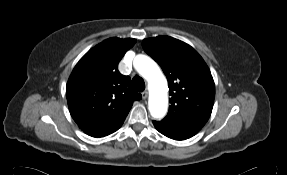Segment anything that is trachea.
<instances>
[{"mask_svg": "<svg viewBox=\"0 0 287 175\" xmlns=\"http://www.w3.org/2000/svg\"><path fill=\"white\" fill-rule=\"evenodd\" d=\"M133 87L136 91L142 92L145 89L144 80L140 76H134L133 78Z\"/></svg>", "mask_w": 287, "mask_h": 175, "instance_id": "trachea-1", "label": "trachea"}]
</instances>
